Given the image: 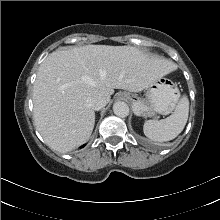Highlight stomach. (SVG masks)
Returning a JSON list of instances; mask_svg holds the SVG:
<instances>
[{
	"label": "stomach",
	"instance_id": "0dacf381",
	"mask_svg": "<svg viewBox=\"0 0 220 220\" xmlns=\"http://www.w3.org/2000/svg\"><path fill=\"white\" fill-rule=\"evenodd\" d=\"M124 95L132 102L135 114L143 117L171 113L180 97L176 84L170 79L163 77L154 81L147 88L146 96L148 103L135 99L129 93Z\"/></svg>",
	"mask_w": 220,
	"mask_h": 220
}]
</instances>
